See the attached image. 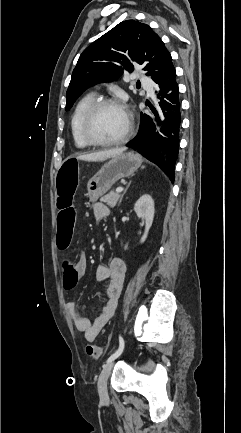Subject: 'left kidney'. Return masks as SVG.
I'll use <instances>...</instances> for the list:
<instances>
[{
    "instance_id": "obj_1",
    "label": "left kidney",
    "mask_w": 241,
    "mask_h": 433,
    "mask_svg": "<svg viewBox=\"0 0 241 433\" xmlns=\"http://www.w3.org/2000/svg\"><path fill=\"white\" fill-rule=\"evenodd\" d=\"M136 215L145 221V232L141 237L140 242L143 243L147 236L154 219V200L148 194L141 196L134 205Z\"/></svg>"
}]
</instances>
